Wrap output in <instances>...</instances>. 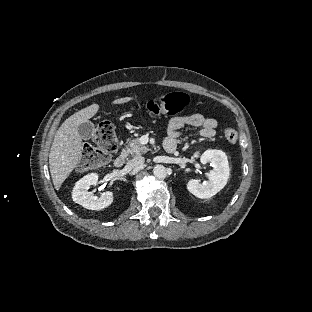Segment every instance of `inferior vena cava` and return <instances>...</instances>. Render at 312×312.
<instances>
[{
  "mask_svg": "<svg viewBox=\"0 0 312 312\" xmlns=\"http://www.w3.org/2000/svg\"><path fill=\"white\" fill-rule=\"evenodd\" d=\"M144 162H145L144 157H142V156H136V157H134L133 159H131V160L129 161L128 165H129L130 167L134 168V167H138V166L143 165Z\"/></svg>",
  "mask_w": 312,
  "mask_h": 312,
  "instance_id": "1",
  "label": "inferior vena cava"
}]
</instances>
